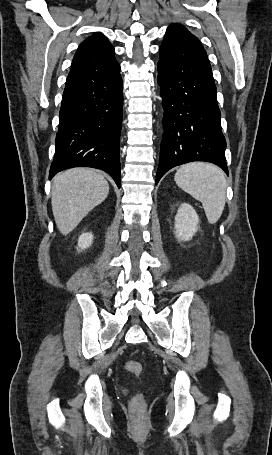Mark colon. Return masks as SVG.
<instances>
[{"label":"colon","mask_w":272,"mask_h":455,"mask_svg":"<svg viewBox=\"0 0 272 455\" xmlns=\"http://www.w3.org/2000/svg\"><path fill=\"white\" fill-rule=\"evenodd\" d=\"M125 368L127 371H129L131 374L135 376H139L142 373V366L139 362L136 361H128L125 364ZM143 407V398L141 395H137L133 398L132 400V409L134 413L138 414L142 411Z\"/></svg>","instance_id":"obj_1"}]
</instances>
